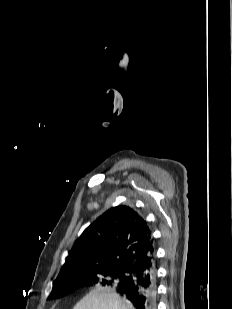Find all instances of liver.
<instances>
[{
  "instance_id": "liver-1",
  "label": "liver",
  "mask_w": 232,
  "mask_h": 309,
  "mask_svg": "<svg viewBox=\"0 0 232 309\" xmlns=\"http://www.w3.org/2000/svg\"><path fill=\"white\" fill-rule=\"evenodd\" d=\"M73 309H135L126 299L114 290L96 288L84 296Z\"/></svg>"
}]
</instances>
